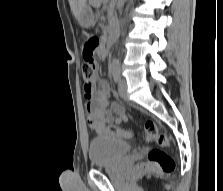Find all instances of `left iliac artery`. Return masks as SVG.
<instances>
[{
  "label": "left iliac artery",
  "instance_id": "1",
  "mask_svg": "<svg viewBox=\"0 0 223 191\" xmlns=\"http://www.w3.org/2000/svg\"><path fill=\"white\" fill-rule=\"evenodd\" d=\"M112 73H113L115 82H118L120 79V65L118 63L113 64Z\"/></svg>",
  "mask_w": 223,
  "mask_h": 191
}]
</instances>
